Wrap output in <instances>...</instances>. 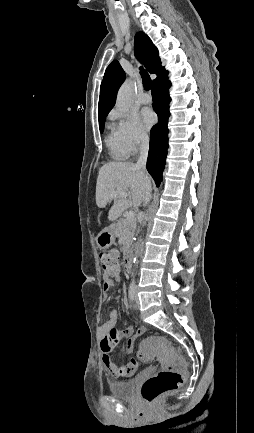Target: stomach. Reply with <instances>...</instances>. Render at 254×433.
Segmentation results:
<instances>
[{
  "label": "stomach",
  "mask_w": 254,
  "mask_h": 433,
  "mask_svg": "<svg viewBox=\"0 0 254 433\" xmlns=\"http://www.w3.org/2000/svg\"><path fill=\"white\" fill-rule=\"evenodd\" d=\"M115 241V229L113 227H108L102 230L97 238L96 243L100 249L109 248Z\"/></svg>",
  "instance_id": "stomach-1"
}]
</instances>
